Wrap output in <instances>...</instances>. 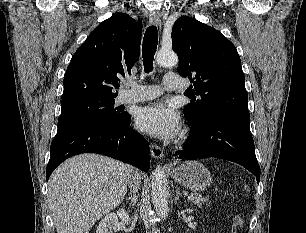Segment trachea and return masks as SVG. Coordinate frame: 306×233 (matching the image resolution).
Returning <instances> with one entry per match:
<instances>
[{
    "label": "trachea",
    "mask_w": 306,
    "mask_h": 233,
    "mask_svg": "<svg viewBox=\"0 0 306 233\" xmlns=\"http://www.w3.org/2000/svg\"><path fill=\"white\" fill-rule=\"evenodd\" d=\"M158 34L157 27L149 26L145 32L142 45V57L145 73L153 70V60L157 49Z\"/></svg>",
    "instance_id": "3493384b"
}]
</instances>
